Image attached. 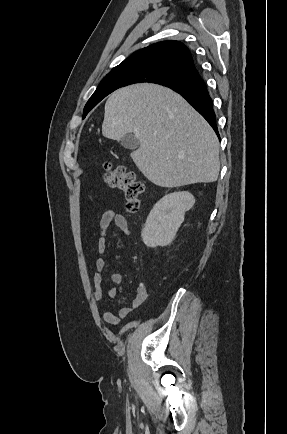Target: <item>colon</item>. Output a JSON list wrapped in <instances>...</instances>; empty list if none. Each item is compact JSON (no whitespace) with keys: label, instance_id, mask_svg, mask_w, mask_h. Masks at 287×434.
<instances>
[{"label":"colon","instance_id":"5ec220e1","mask_svg":"<svg viewBox=\"0 0 287 434\" xmlns=\"http://www.w3.org/2000/svg\"><path fill=\"white\" fill-rule=\"evenodd\" d=\"M104 182L123 193L126 210L129 213H136L141 207V195L144 192V183L136 178L132 171L124 167L114 168L110 163L104 165Z\"/></svg>","mask_w":287,"mask_h":434}]
</instances>
